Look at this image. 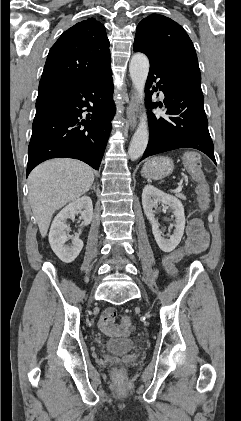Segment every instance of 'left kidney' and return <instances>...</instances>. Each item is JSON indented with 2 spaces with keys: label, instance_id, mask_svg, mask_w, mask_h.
<instances>
[{
  "label": "left kidney",
  "instance_id": "obj_1",
  "mask_svg": "<svg viewBox=\"0 0 241 421\" xmlns=\"http://www.w3.org/2000/svg\"><path fill=\"white\" fill-rule=\"evenodd\" d=\"M158 202L168 205L175 216V229L169 239L162 236L159 223L155 219L153 208ZM142 205L144 213L152 225V232L159 248L164 252L173 251L180 243L185 228L184 207L176 197L166 194L152 185L144 187L142 192Z\"/></svg>",
  "mask_w": 241,
  "mask_h": 421
}]
</instances>
